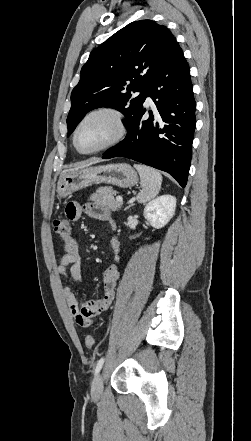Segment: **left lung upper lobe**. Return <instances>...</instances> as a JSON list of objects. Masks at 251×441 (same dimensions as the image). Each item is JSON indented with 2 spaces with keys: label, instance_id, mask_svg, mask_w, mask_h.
<instances>
[{
  "label": "left lung upper lobe",
  "instance_id": "left-lung-upper-lobe-1",
  "mask_svg": "<svg viewBox=\"0 0 251 441\" xmlns=\"http://www.w3.org/2000/svg\"><path fill=\"white\" fill-rule=\"evenodd\" d=\"M176 45L166 26L140 20L128 24L94 49L71 93L67 136L86 113L103 106L123 113L127 127L145 101L147 84L165 65ZM135 92L140 94L133 97Z\"/></svg>",
  "mask_w": 251,
  "mask_h": 441
}]
</instances>
